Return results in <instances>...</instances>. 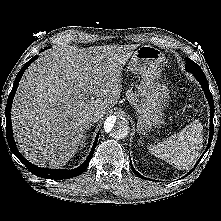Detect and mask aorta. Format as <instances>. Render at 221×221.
Listing matches in <instances>:
<instances>
[{"mask_svg":"<svg viewBox=\"0 0 221 221\" xmlns=\"http://www.w3.org/2000/svg\"><path fill=\"white\" fill-rule=\"evenodd\" d=\"M104 130L114 139H124L130 132V126L126 118L110 116L104 123Z\"/></svg>","mask_w":221,"mask_h":221,"instance_id":"1","label":"aorta"}]
</instances>
